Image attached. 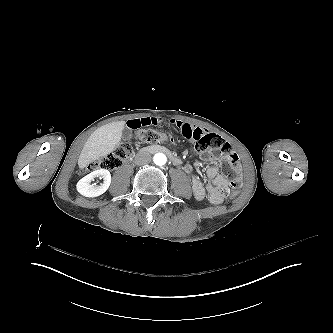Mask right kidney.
Segmentation results:
<instances>
[{
  "label": "right kidney",
  "instance_id": "obj_1",
  "mask_svg": "<svg viewBox=\"0 0 333 333\" xmlns=\"http://www.w3.org/2000/svg\"><path fill=\"white\" fill-rule=\"evenodd\" d=\"M95 177L103 178V183L100 186L91 184ZM111 184V174L107 169L95 170L80 179L76 185L77 191L85 197H97L102 195Z\"/></svg>",
  "mask_w": 333,
  "mask_h": 333
}]
</instances>
